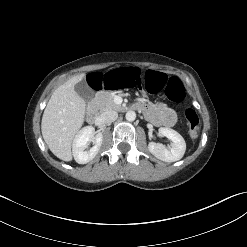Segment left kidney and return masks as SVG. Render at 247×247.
<instances>
[{
  "label": "left kidney",
  "mask_w": 247,
  "mask_h": 247,
  "mask_svg": "<svg viewBox=\"0 0 247 247\" xmlns=\"http://www.w3.org/2000/svg\"><path fill=\"white\" fill-rule=\"evenodd\" d=\"M159 135L170 139L171 145L169 147H165L161 143L150 142L148 144L149 151L156 158L165 162H175L180 160L186 150L184 138L175 130L166 127L159 128Z\"/></svg>",
  "instance_id": "5707ae66"
}]
</instances>
